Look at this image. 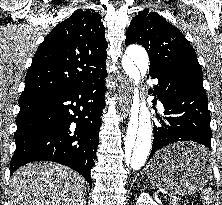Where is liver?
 Returning a JSON list of instances; mask_svg holds the SVG:
<instances>
[{
	"label": "liver",
	"mask_w": 222,
	"mask_h": 205,
	"mask_svg": "<svg viewBox=\"0 0 222 205\" xmlns=\"http://www.w3.org/2000/svg\"><path fill=\"white\" fill-rule=\"evenodd\" d=\"M10 205H84L85 180L74 170L52 162H34L14 172Z\"/></svg>",
	"instance_id": "6515ba94"
}]
</instances>
